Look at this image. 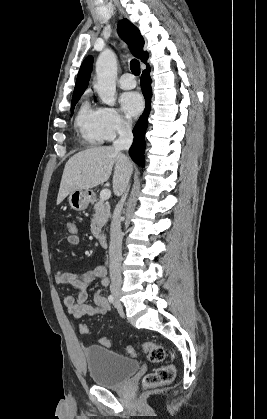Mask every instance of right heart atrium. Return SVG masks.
I'll use <instances>...</instances> for the list:
<instances>
[{
  "mask_svg": "<svg viewBox=\"0 0 267 419\" xmlns=\"http://www.w3.org/2000/svg\"><path fill=\"white\" fill-rule=\"evenodd\" d=\"M100 125L105 140H113L117 135L129 130L130 121L113 107H101Z\"/></svg>",
  "mask_w": 267,
  "mask_h": 419,
  "instance_id": "d8ad5b80",
  "label": "right heart atrium"
}]
</instances>
